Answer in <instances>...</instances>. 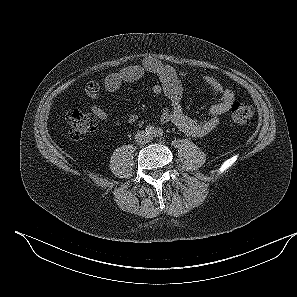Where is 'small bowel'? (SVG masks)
Masks as SVG:
<instances>
[{
  "mask_svg": "<svg viewBox=\"0 0 297 297\" xmlns=\"http://www.w3.org/2000/svg\"><path fill=\"white\" fill-rule=\"evenodd\" d=\"M147 74L156 76L160 83L153 86L154 94H164L168 100L167 106L162 110L160 120L162 123H173L184 134L192 138H200L213 131L221 122V117L226 114L235 102L234 92L225 87L214 78L204 76L201 78V88L217 98V102L211 107L209 115L203 119L195 120L184 113L182 108V83L181 78L186 73L172 66L165 65L155 58L148 57L141 64L131 65L119 72L109 74L103 88L108 92H116L123 85L134 83ZM86 94L93 100H98L101 84L91 81L86 86ZM92 114L101 122L119 125L121 120L111 117L101 106L93 104ZM139 115L131 112L125 121L134 124Z\"/></svg>",
  "mask_w": 297,
  "mask_h": 297,
  "instance_id": "obj_1",
  "label": "small bowel"
}]
</instances>
